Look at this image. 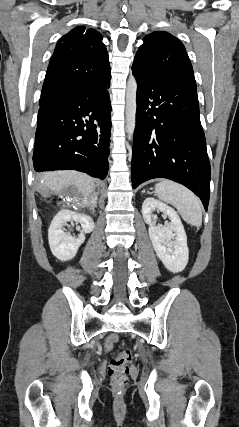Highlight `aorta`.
Wrapping results in <instances>:
<instances>
[{
    "label": "aorta",
    "mask_w": 239,
    "mask_h": 427,
    "mask_svg": "<svg viewBox=\"0 0 239 427\" xmlns=\"http://www.w3.org/2000/svg\"><path fill=\"white\" fill-rule=\"evenodd\" d=\"M136 93H137V82L133 75H131L127 81L126 89V131L128 139L133 138V133L136 126Z\"/></svg>",
    "instance_id": "aorta-1"
}]
</instances>
